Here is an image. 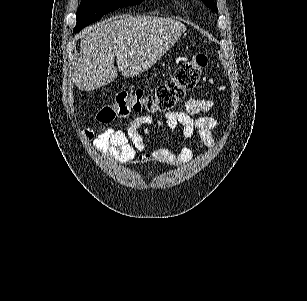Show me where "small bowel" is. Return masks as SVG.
Instances as JSON below:
<instances>
[{
    "label": "small bowel",
    "instance_id": "small-bowel-1",
    "mask_svg": "<svg viewBox=\"0 0 307 301\" xmlns=\"http://www.w3.org/2000/svg\"><path fill=\"white\" fill-rule=\"evenodd\" d=\"M214 108L212 100L192 98L186 101L182 110L167 112L163 119L141 115L135 117L125 130L108 126L96 132L93 128H87L84 136L93 141L97 150L107 152L121 164H128L134 160L137 152L145 150V138L153 132L180 130L184 143L178 151L162 147L139 156L141 163L155 162L178 167L189 162L192 157V150L186 143L191 138L197 137L207 148L215 146L214 132L219 130V122L213 117H193Z\"/></svg>",
    "mask_w": 307,
    "mask_h": 301
}]
</instances>
